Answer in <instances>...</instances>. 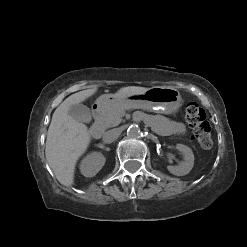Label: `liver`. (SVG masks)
<instances>
[{
  "instance_id": "6515ba94",
  "label": "liver",
  "mask_w": 247,
  "mask_h": 247,
  "mask_svg": "<svg viewBox=\"0 0 247 247\" xmlns=\"http://www.w3.org/2000/svg\"><path fill=\"white\" fill-rule=\"evenodd\" d=\"M149 88L128 86L119 89L114 95L126 98L145 93ZM97 91V87L83 90L66 98L54 111L47 132L45 155L57 180L64 186L74 183L75 166L86 152L91 135L88 127L74 120L69 114L70 106L83 102Z\"/></svg>"
}]
</instances>
